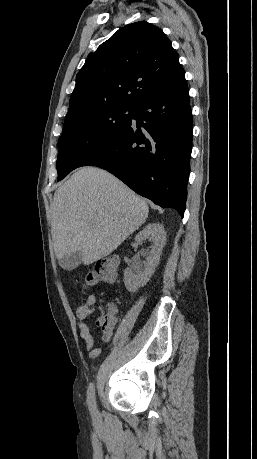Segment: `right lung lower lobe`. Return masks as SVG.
I'll list each match as a JSON object with an SVG mask.
<instances>
[{"label":"right lung lower lobe","instance_id":"1","mask_svg":"<svg viewBox=\"0 0 257 459\" xmlns=\"http://www.w3.org/2000/svg\"><path fill=\"white\" fill-rule=\"evenodd\" d=\"M185 75L142 100L136 120L81 166L106 169L138 194L181 217L187 199L192 113Z\"/></svg>","mask_w":257,"mask_h":459}]
</instances>
